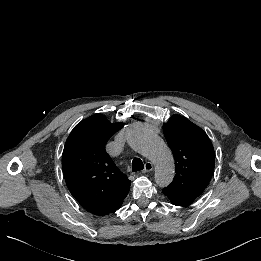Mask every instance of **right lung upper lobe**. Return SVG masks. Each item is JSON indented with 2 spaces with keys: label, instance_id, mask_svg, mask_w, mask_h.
I'll use <instances>...</instances> for the list:
<instances>
[{
  "label": "right lung upper lobe",
  "instance_id": "cb5924a9",
  "mask_svg": "<svg viewBox=\"0 0 261 261\" xmlns=\"http://www.w3.org/2000/svg\"><path fill=\"white\" fill-rule=\"evenodd\" d=\"M123 127L95 114L77 124L68 136L62 168L70 193L87 211L107 215L119 209L131 181L105 150L109 138Z\"/></svg>",
  "mask_w": 261,
  "mask_h": 261
}]
</instances>
